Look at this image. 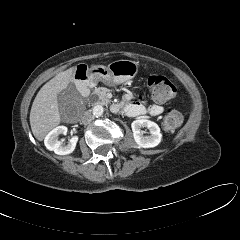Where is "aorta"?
Segmentation results:
<instances>
[{"label": "aorta", "mask_w": 240, "mask_h": 240, "mask_svg": "<svg viewBox=\"0 0 240 240\" xmlns=\"http://www.w3.org/2000/svg\"><path fill=\"white\" fill-rule=\"evenodd\" d=\"M104 112V108L102 105H96L93 107V115L96 116V117H100L102 116Z\"/></svg>", "instance_id": "762f6f07"}]
</instances>
